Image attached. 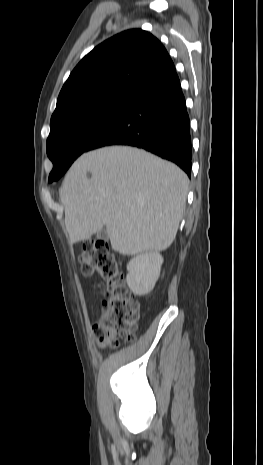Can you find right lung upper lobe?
I'll return each mask as SVG.
<instances>
[{
  "mask_svg": "<svg viewBox=\"0 0 263 465\" xmlns=\"http://www.w3.org/2000/svg\"><path fill=\"white\" fill-rule=\"evenodd\" d=\"M173 73L174 64L156 37L141 29L121 32L79 62L59 94L51 119L98 98L135 97Z\"/></svg>",
  "mask_w": 263,
  "mask_h": 465,
  "instance_id": "obj_1",
  "label": "right lung upper lobe"
}]
</instances>
